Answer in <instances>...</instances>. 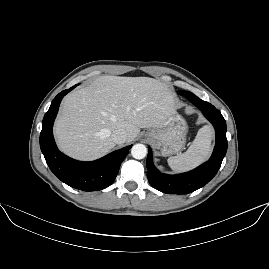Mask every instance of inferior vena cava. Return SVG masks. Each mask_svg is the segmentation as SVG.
<instances>
[{"label": "inferior vena cava", "mask_w": 269, "mask_h": 269, "mask_svg": "<svg viewBox=\"0 0 269 269\" xmlns=\"http://www.w3.org/2000/svg\"><path fill=\"white\" fill-rule=\"evenodd\" d=\"M111 138L116 144H122L127 139V132L121 128L115 129L112 133Z\"/></svg>", "instance_id": "inferior-vena-cava-1"}]
</instances>
